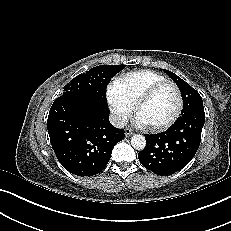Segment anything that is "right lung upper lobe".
<instances>
[{
	"label": "right lung upper lobe",
	"instance_id": "obj_1",
	"mask_svg": "<svg viewBox=\"0 0 231 231\" xmlns=\"http://www.w3.org/2000/svg\"><path fill=\"white\" fill-rule=\"evenodd\" d=\"M109 67L122 69V68H125L126 65H109Z\"/></svg>",
	"mask_w": 231,
	"mask_h": 231
}]
</instances>
